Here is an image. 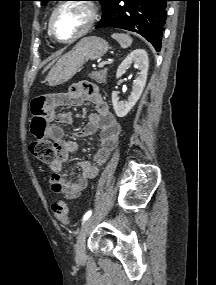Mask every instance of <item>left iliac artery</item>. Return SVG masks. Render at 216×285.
Returning <instances> with one entry per match:
<instances>
[{"instance_id":"1","label":"left iliac artery","mask_w":216,"mask_h":285,"mask_svg":"<svg viewBox=\"0 0 216 285\" xmlns=\"http://www.w3.org/2000/svg\"><path fill=\"white\" fill-rule=\"evenodd\" d=\"M92 214V211L89 210L88 212L85 213V215L83 216V221H86Z\"/></svg>"}]
</instances>
